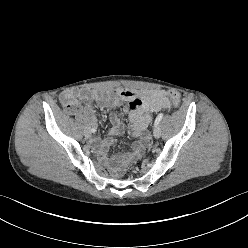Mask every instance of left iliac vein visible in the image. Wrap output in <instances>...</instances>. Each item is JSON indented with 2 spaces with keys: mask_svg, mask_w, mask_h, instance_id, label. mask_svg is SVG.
Instances as JSON below:
<instances>
[{
  "mask_svg": "<svg viewBox=\"0 0 248 248\" xmlns=\"http://www.w3.org/2000/svg\"><path fill=\"white\" fill-rule=\"evenodd\" d=\"M153 135L155 138H160L161 136V129L159 127V125H156L153 129Z\"/></svg>",
  "mask_w": 248,
  "mask_h": 248,
  "instance_id": "1",
  "label": "left iliac vein"
}]
</instances>
